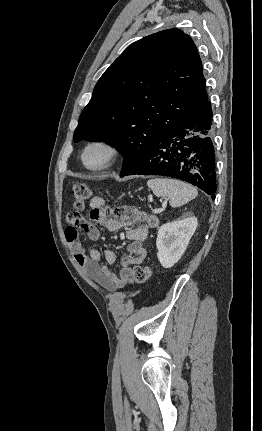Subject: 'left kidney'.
Wrapping results in <instances>:
<instances>
[{
	"instance_id": "obj_1",
	"label": "left kidney",
	"mask_w": 262,
	"mask_h": 431,
	"mask_svg": "<svg viewBox=\"0 0 262 431\" xmlns=\"http://www.w3.org/2000/svg\"><path fill=\"white\" fill-rule=\"evenodd\" d=\"M198 222L189 217L162 225L157 234V257L164 268H170L184 254Z\"/></svg>"
}]
</instances>
